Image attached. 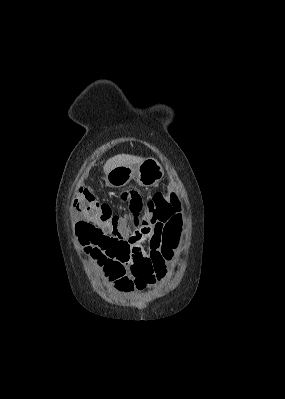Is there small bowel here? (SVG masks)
Masks as SVG:
<instances>
[{
  "instance_id": "obj_1",
  "label": "small bowel",
  "mask_w": 285,
  "mask_h": 399,
  "mask_svg": "<svg viewBox=\"0 0 285 399\" xmlns=\"http://www.w3.org/2000/svg\"><path fill=\"white\" fill-rule=\"evenodd\" d=\"M154 217H155V214L153 212L149 213L147 222L145 224H143L139 230H135L131 236H129L130 235L129 229L125 225L119 226V228H118L119 236H121L123 238L128 237V239H130V241L133 243L134 248L137 249L136 253L145 258H149L151 256V253L153 251L159 250L164 243V231L162 229L159 230L156 228L155 222H154ZM171 230L174 232L180 233V231L182 230V220H180V219L177 220L173 224ZM142 241L149 242L148 249H144L140 246V242H142ZM95 262L98 263L103 268H105L106 270H109V266H108L107 262L100 261L98 258H96ZM125 265H127V264H125ZM123 279H129L128 277H126L125 267H124L123 273L119 277L111 280L113 282L116 290L122 294L127 293V292H124L120 287V283Z\"/></svg>"
}]
</instances>
